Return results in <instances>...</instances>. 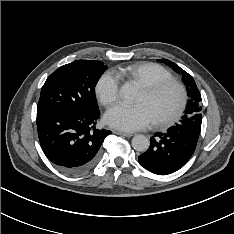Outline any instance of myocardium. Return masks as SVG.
<instances>
[{
  "mask_svg": "<svg viewBox=\"0 0 234 234\" xmlns=\"http://www.w3.org/2000/svg\"><path fill=\"white\" fill-rule=\"evenodd\" d=\"M167 88H175L178 91L179 102L176 108L168 116L154 121V125L158 127L170 126L180 118L187 104V99H188L187 91L180 82L174 79L159 81L143 87V92L149 98L154 97L155 95H157L158 93H160L161 91Z\"/></svg>",
  "mask_w": 234,
  "mask_h": 234,
  "instance_id": "f54148a6",
  "label": "myocardium"
}]
</instances>
